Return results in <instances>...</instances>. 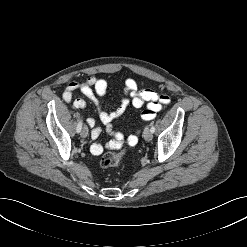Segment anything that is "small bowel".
I'll list each match as a JSON object with an SVG mask.
<instances>
[{"mask_svg":"<svg viewBox=\"0 0 247 247\" xmlns=\"http://www.w3.org/2000/svg\"><path fill=\"white\" fill-rule=\"evenodd\" d=\"M75 91L82 92L97 106L99 119L104 124L105 130L109 133L112 132L113 122L120 119L130 106L144 108L141 116L142 119L148 121L155 117L162 106L168 105L171 101L167 94L154 89L149 88L139 90L137 82L132 78L126 79L123 97L119 106L113 112H106L102 110L100 106L99 99L104 97L108 91V82L104 78L91 75L83 82H69L65 86L62 94L63 100L68 104H72L75 109H85L86 102L83 99L73 98ZM87 124L91 128L92 139H98L101 136L103 129L97 126L96 119L94 117L87 118ZM122 137L121 133H115L114 142L120 141ZM133 141L137 143V137H130V142ZM112 143L113 142H110L108 146L111 147ZM92 150L95 154H99L102 151V145L96 142L92 145Z\"/></svg>","mask_w":247,"mask_h":247,"instance_id":"obj_1","label":"small bowel"}]
</instances>
